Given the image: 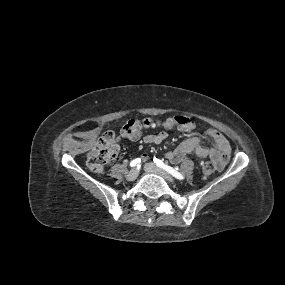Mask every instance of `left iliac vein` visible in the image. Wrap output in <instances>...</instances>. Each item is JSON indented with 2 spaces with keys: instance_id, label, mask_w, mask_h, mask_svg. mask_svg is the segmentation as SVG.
Returning <instances> with one entry per match:
<instances>
[{
  "instance_id": "left-iliac-vein-1",
  "label": "left iliac vein",
  "mask_w": 285,
  "mask_h": 285,
  "mask_svg": "<svg viewBox=\"0 0 285 285\" xmlns=\"http://www.w3.org/2000/svg\"><path fill=\"white\" fill-rule=\"evenodd\" d=\"M144 169L149 173H154V174H158V175L162 176L168 182H171V183L175 182V180L169 174H167L165 171L156 167L153 163H146L144 165Z\"/></svg>"
}]
</instances>
